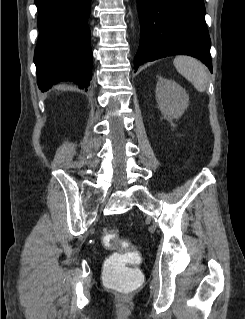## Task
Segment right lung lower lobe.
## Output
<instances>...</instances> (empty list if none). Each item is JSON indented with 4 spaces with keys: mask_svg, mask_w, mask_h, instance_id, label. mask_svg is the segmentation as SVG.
Masks as SVG:
<instances>
[{
    "mask_svg": "<svg viewBox=\"0 0 245 319\" xmlns=\"http://www.w3.org/2000/svg\"><path fill=\"white\" fill-rule=\"evenodd\" d=\"M39 38L35 49L42 92L63 80L86 88L91 80L90 0H35Z\"/></svg>",
    "mask_w": 245,
    "mask_h": 319,
    "instance_id": "right-lung-lower-lobe-1",
    "label": "right lung lower lobe"
}]
</instances>
